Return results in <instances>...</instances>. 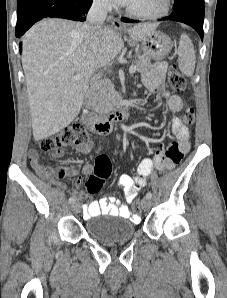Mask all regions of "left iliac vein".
Here are the masks:
<instances>
[{
	"mask_svg": "<svg viewBox=\"0 0 227 298\" xmlns=\"http://www.w3.org/2000/svg\"><path fill=\"white\" fill-rule=\"evenodd\" d=\"M142 208L145 210V211H148L151 207V199L150 198H147L145 197L143 200H142Z\"/></svg>",
	"mask_w": 227,
	"mask_h": 298,
	"instance_id": "4c4485c4",
	"label": "left iliac vein"
}]
</instances>
